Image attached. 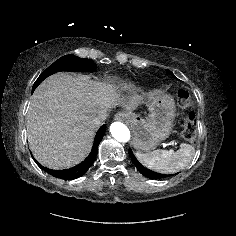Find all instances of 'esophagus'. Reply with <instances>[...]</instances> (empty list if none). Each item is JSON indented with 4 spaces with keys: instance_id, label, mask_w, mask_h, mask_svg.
Masks as SVG:
<instances>
[{
    "instance_id": "1",
    "label": "esophagus",
    "mask_w": 236,
    "mask_h": 236,
    "mask_svg": "<svg viewBox=\"0 0 236 236\" xmlns=\"http://www.w3.org/2000/svg\"><path fill=\"white\" fill-rule=\"evenodd\" d=\"M128 117V114L124 112H118L115 114L114 119L118 121H123Z\"/></svg>"
}]
</instances>
